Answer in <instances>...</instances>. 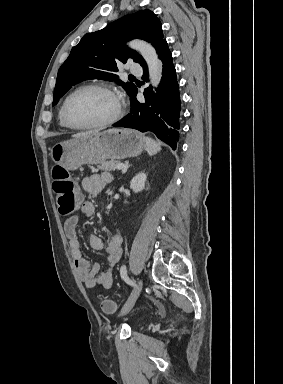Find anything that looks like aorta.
Returning a JSON list of instances; mask_svg holds the SVG:
<instances>
[{"instance_id": "obj_1", "label": "aorta", "mask_w": 283, "mask_h": 384, "mask_svg": "<svg viewBox=\"0 0 283 384\" xmlns=\"http://www.w3.org/2000/svg\"><path fill=\"white\" fill-rule=\"evenodd\" d=\"M128 45L143 56L148 66L151 84L157 87L162 78L163 64L159 60L155 49L142 40L131 41Z\"/></svg>"}]
</instances>
